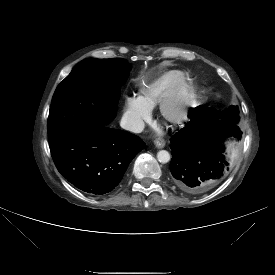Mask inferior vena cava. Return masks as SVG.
I'll return each instance as SVG.
<instances>
[{
  "mask_svg": "<svg viewBox=\"0 0 275 275\" xmlns=\"http://www.w3.org/2000/svg\"><path fill=\"white\" fill-rule=\"evenodd\" d=\"M120 126L134 133H141L144 129V122L135 116L124 115L120 121Z\"/></svg>",
  "mask_w": 275,
  "mask_h": 275,
  "instance_id": "obj_1",
  "label": "inferior vena cava"
}]
</instances>
